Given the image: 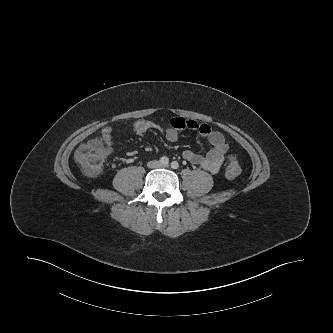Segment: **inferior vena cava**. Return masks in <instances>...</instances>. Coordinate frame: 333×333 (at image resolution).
<instances>
[{
    "instance_id": "1",
    "label": "inferior vena cava",
    "mask_w": 333,
    "mask_h": 333,
    "mask_svg": "<svg viewBox=\"0 0 333 333\" xmlns=\"http://www.w3.org/2000/svg\"><path fill=\"white\" fill-rule=\"evenodd\" d=\"M155 164H156V162L151 161V162L148 163V167H149V168H154V167H155Z\"/></svg>"
}]
</instances>
